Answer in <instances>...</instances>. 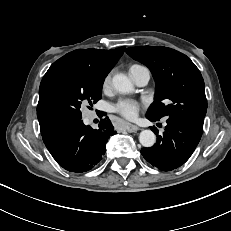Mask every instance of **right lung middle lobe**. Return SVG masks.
I'll list each match as a JSON object with an SVG mask.
<instances>
[{
  "label": "right lung middle lobe",
  "instance_id": "right-lung-middle-lobe-1",
  "mask_svg": "<svg viewBox=\"0 0 231 231\" xmlns=\"http://www.w3.org/2000/svg\"><path fill=\"white\" fill-rule=\"evenodd\" d=\"M106 75L84 66L67 65L53 73L47 83L45 98L59 123L80 120L82 104L101 99Z\"/></svg>",
  "mask_w": 231,
  "mask_h": 231
}]
</instances>
